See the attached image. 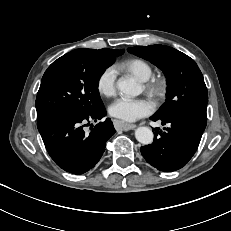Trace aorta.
<instances>
[{
	"mask_svg": "<svg viewBox=\"0 0 231 231\" xmlns=\"http://www.w3.org/2000/svg\"><path fill=\"white\" fill-rule=\"evenodd\" d=\"M120 92L128 96H137L141 93V88L133 79L120 78L117 82ZM135 137L143 145H149L153 142V132L148 127H138L135 130Z\"/></svg>",
	"mask_w": 231,
	"mask_h": 231,
	"instance_id": "762f6f07",
	"label": "aorta"
}]
</instances>
